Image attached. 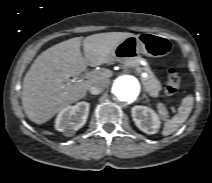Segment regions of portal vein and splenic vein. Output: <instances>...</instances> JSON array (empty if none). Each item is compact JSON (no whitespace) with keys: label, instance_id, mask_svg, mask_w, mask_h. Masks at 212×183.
Wrapping results in <instances>:
<instances>
[{"label":"portal vein and splenic vein","instance_id":"portal-vein-and-splenic-vein-1","mask_svg":"<svg viewBox=\"0 0 212 183\" xmlns=\"http://www.w3.org/2000/svg\"><path fill=\"white\" fill-rule=\"evenodd\" d=\"M95 73H96L95 71H92V72L87 73L86 75H87V76H92V75H94Z\"/></svg>","mask_w":212,"mask_h":183}]
</instances>
